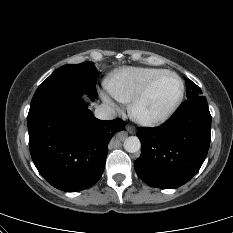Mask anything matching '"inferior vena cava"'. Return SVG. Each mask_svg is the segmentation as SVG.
I'll use <instances>...</instances> for the list:
<instances>
[{"label": "inferior vena cava", "mask_w": 233, "mask_h": 233, "mask_svg": "<svg viewBox=\"0 0 233 233\" xmlns=\"http://www.w3.org/2000/svg\"><path fill=\"white\" fill-rule=\"evenodd\" d=\"M117 116L114 108L107 104H101L95 109V117L101 120H112Z\"/></svg>", "instance_id": "inferior-vena-cava-1"}]
</instances>
